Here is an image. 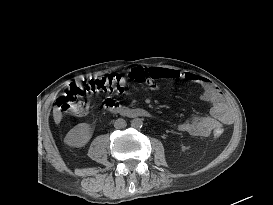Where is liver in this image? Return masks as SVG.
Returning a JSON list of instances; mask_svg holds the SVG:
<instances>
[{
  "label": "liver",
  "instance_id": "liver-1",
  "mask_svg": "<svg viewBox=\"0 0 273 205\" xmlns=\"http://www.w3.org/2000/svg\"><path fill=\"white\" fill-rule=\"evenodd\" d=\"M62 118L61 112L59 110H54V119L56 122H60Z\"/></svg>",
  "mask_w": 273,
  "mask_h": 205
}]
</instances>
